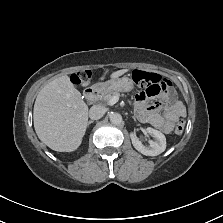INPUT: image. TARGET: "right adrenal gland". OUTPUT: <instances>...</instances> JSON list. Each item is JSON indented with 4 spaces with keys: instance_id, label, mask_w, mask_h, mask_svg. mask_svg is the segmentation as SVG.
<instances>
[{
    "instance_id": "1",
    "label": "right adrenal gland",
    "mask_w": 223,
    "mask_h": 223,
    "mask_svg": "<svg viewBox=\"0 0 223 223\" xmlns=\"http://www.w3.org/2000/svg\"><path fill=\"white\" fill-rule=\"evenodd\" d=\"M93 122V120H89L86 124V126L88 127L91 123Z\"/></svg>"
}]
</instances>
